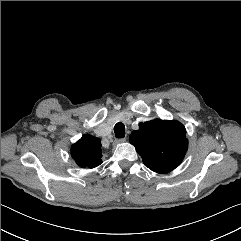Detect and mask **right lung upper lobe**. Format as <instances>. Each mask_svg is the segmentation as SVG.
I'll return each instance as SVG.
<instances>
[{
    "label": "right lung upper lobe",
    "instance_id": "obj_1",
    "mask_svg": "<svg viewBox=\"0 0 241 241\" xmlns=\"http://www.w3.org/2000/svg\"><path fill=\"white\" fill-rule=\"evenodd\" d=\"M71 155L80 167H97L102 163L100 139L91 135L82 136L72 145Z\"/></svg>",
    "mask_w": 241,
    "mask_h": 241
}]
</instances>
